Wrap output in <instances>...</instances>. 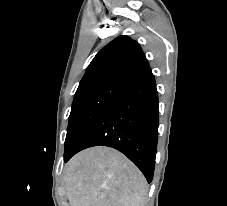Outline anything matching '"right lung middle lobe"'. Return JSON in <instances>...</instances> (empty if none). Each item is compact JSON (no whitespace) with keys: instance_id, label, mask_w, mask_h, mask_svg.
Wrapping results in <instances>:
<instances>
[{"instance_id":"right-lung-middle-lobe-1","label":"right lung middle lobe","mask_w":227,"mask_h":206,"mask_svg":"<svg viewBox=\"0 0 227 206\" xmlns=\"http://www.w3.org/2000/svg\"><path fill=\"white\" fill-rule=\"evenodd\" d=\"M128 85L129 82L123 80L108 79L77 89L69 116L64 157L72 152L92 122Z\"/></svg>"}]
</instances>
